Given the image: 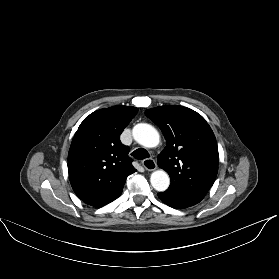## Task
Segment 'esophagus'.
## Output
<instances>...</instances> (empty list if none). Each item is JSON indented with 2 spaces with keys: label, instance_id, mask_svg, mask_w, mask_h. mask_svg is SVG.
Here are the masks:
<instances>
[{
  "label": "esophagus",
  "instance_id": "1",
  "mask_svg": "<svg viewBox=\"0 0 279 279\" xmlns=\"http://www.w3.org/2000/svg\"><path fill=\"white\" fill-rule=\"evenodd\" d=\"M143 167L148 171H153L157 168L156 162L153 159H144L142 161Z\"/></svg>",
  "mask_w": 279,
  "mask_h": 279
}]
</instances>
